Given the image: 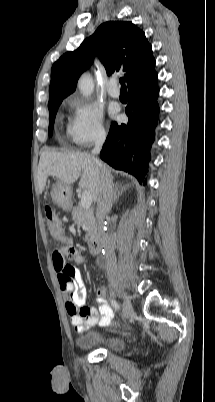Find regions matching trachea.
<instances>
[{
    "label": "trachea",
    "instance_id": "3493384b",
    "mask_svg": "<svg viewBox=\"0 0 215 402\" xmlns=\"http://www.w3.org/2000/svg\"><path fill=\"white\" fill-rule=\"evenodd\" d=\"M119 82H120V84H121V88H122V89H126L125 78H124V77L120 78Z\"/></svg>",
    "mask_w": 215,
    "mask_h": 402
}]
</instances>
